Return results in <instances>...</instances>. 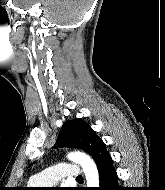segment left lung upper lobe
Masks as SVG:
<instances>
[{
  "label": "left lung upper lobe",
  "instance_id": "5c2ea615",
  "mask_svg": "<svg viewBox=\"0 0 165 190\" xmlns=\"http://www.w3.org/2000/svg\"><path fill=\"white\" fill-rule=\"evenodd\" d=\"M81 148L92 156L95 163L109 155L104 142L96 135L95 131L82 119L76 118L64 123L58 135V147Z\"/></svg>",
  "mask_w": 165,
  "mask_h": 190
}]
</instances>
